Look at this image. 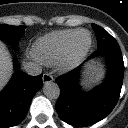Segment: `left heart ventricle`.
Listing matches in <instances>:
<instances>
[{
  "label": "left heart ventricle",
  "mask_w": 128,
  "mask_h": 128,
  "mask_svg": "<svg viewBox=\"0 0 128 128\" xmlns=\"http://www.w3.org/2000/svg\"><path fill=\"white\" fill-rule=\"evenodd\" d=\"M87 41H88L87 35L86 34H80L78 39H77V48L78 49L83 48L87 44Z\"/></svg>",
  "instance_id": "1"
}]
</instances>
